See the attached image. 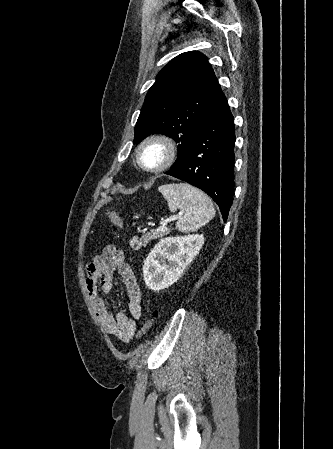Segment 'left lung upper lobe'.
Wrapping results in <instances>:
<instances>
[{
  "instance_id": "obj_1",
  "label": "left lung upper lobe",
  "mask_w": 333,
  "mask_h": 449,
  "mask_svg": "<svg viewBox=\"0 0 333 449\" xmlns=\"http://www.w3.org/2000/svg\"><path fill=\"white\" fill-rule=\"evenodd\" d=\"M221 93L205 55L189 51L176 56L158 73L146 95L134 143L154 133L172 137L178 143L172 167L182 165L194 134Z\"/></svg>"
}]
</instances>
